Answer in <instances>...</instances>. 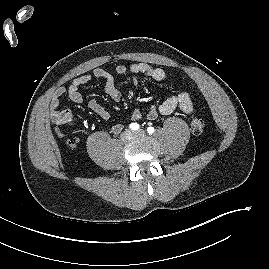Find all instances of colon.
I'll list each match as a JSON object with an SVG mask.
<instances>
[{"mask_svg": "<svg viewBox=\"0 0 269 269\" xmlns=\"http://www.w3.org/2000/svg\"><path fill=\"white\" fill-rule=\"evenodd\" d=\"M72 121V116L69 115V114H65L63 116V122H64V125H68L70 124ZM204 127H205V122L202 118L200 117H193L190 121V128H191V131L196 134V135H199L203 132L204 130Z\"/></svg>", "mask_w": 269, "mask_h": 269, "instance_id": "1", "label": "colon"}]
</instances>
